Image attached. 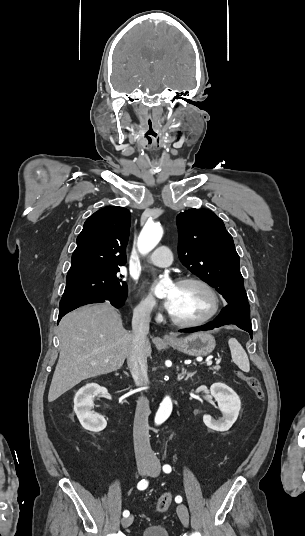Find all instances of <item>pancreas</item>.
<instances>
[{
    "mask_svg": "<svg viewBox=\"0 0 305 536\" xmlns=\"http://www.w3.org/2000/svg\"><path fill=\"white\" fill-rule=\"evenodd\" d=\"M213 370H220V368H217V366H215V368H213Z\"/></svg>",
    "mask_w": 305,
    "mask_h": 536,
    "instance_id": "cf45deb5",
    "label": "pancreas"
}]
</instances>
